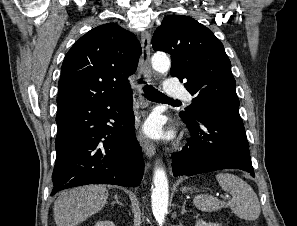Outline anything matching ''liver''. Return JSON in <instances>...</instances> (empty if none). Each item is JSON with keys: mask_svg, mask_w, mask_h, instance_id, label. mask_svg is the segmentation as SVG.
<instances>
[{"mask_svg": "<svg viewBox=\"0 0 297 226\" xmlns=\"http://www.w3.org/2000/svg\"><path fill=\"white\" fill-rule=\"evenodd\" d=\"M109 193L104 186L88 185L62 192L54 203L57 226H76L100 211Z\"/></svg>", "mask_w": 297, "mask_h": 226, "instance_id": "obj_1", "label": "liver"}]
</instances>
